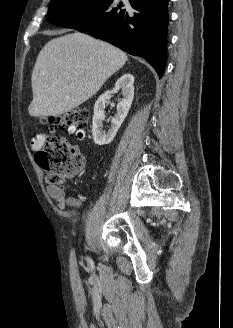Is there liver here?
<instances>
[{
	"label": "liver",
	"mask_w": 233,
	"mask_h": 328,
	"mask_svg": "<svg viewBox=\"0 0 233 328\" xmlns=\"http://www.w3.org/2000/svg\"><path fill=\"white\" fill-rule=\"evenodd\" d=\"M120 49L84 33L49 41L33 68V117L57 116L91 98L127 61Z\"/></svg>",
	"instance_id": "6515ba94"
}]
</instances>
